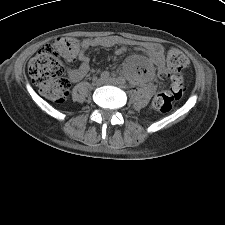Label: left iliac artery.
<instances>
[{
  "label": "left iliac artery",
  "mask_w": 225,
  "mask_h": 225,
  "mask_svg": "<svg viewBox=\"0 0 225 225\" xmlns=\"http://www.w3.org/2000/svg\"><path fill=\"white\" fill-rule=\"evenodd\" d=\"M117 80H118V83L121 85H125V83H126V80L123 77H118Z\"/></svg>",
  "instance_id": "left-iliac-artery-1"
}]
</instances>
